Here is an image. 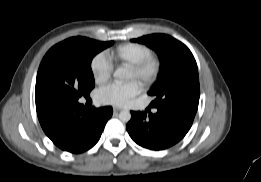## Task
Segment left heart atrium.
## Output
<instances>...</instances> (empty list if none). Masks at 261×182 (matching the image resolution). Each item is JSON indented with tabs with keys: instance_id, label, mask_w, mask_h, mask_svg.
<instances>
[{
	"instance_id": "1",
	"label": "left heart atrium",
	"mask_w": 261,
	"mask_h": 182,
	"mask_svg": "<svg viewBox=\"0 0 261 182\" xmlns=\"http://www.w3.org/2000/svg\"><path fill=\"white\" fill-rule=\"evenodd\" d=\"M141 85L136 80L124 85L111 84L98 91L100 103L113 106H126L130 100L141 91Z\"/></svg>"
}]
</instances>
